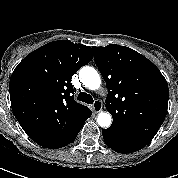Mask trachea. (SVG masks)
<instances>
[{
	"label": "trachea",
	"mask_w": 178,
	"mask_h": 178,
	"mask_svg": "<svg viewBox=\"0 0 178 178\" xmlns=\"http://www.w3.org/2000/svg\"><path fill=\"white\" fill-rule=\"evenodd\" d=\"M77 99L79 101L85 102L87 104H93L92 96L90 94H87V93H84V92L79 93Z\"/></svg>",
	"instance_id": "3493384b"
}]
</instances>
